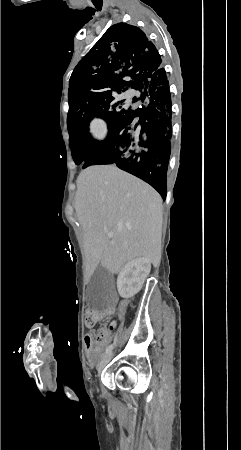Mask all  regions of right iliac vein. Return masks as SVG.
<instances>
[{"label":"right iliac vein","mask_w":241,"mask_h":450,"mask_svg":"<svg viewBox=\"0 0 241 450\" xmlns=\"http://www.w3.org/2000/svg\"><path fill=\"white\" fill-rule=\"evenodd\" d=\"M112 357H113V353H109L102 359L100 368H99V373L102 370V368L111 360Z\"/></svg>","instance_id":"63e3f726"}]
</instances>
